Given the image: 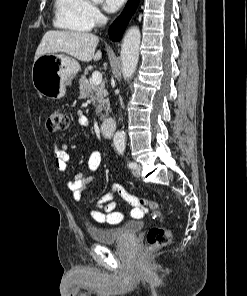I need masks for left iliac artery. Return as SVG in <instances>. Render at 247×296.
I'll use <instances>...</instances> for the list:
<instances>
[{
  "label": "left iliac artery",
  "instance_id": "obj_1",
  "mask_svg": "<svg viewBox=\"0 0 247 296\" xmlns=\"http://www.w3.org/2000/svg\"><path fill=\"white\" fill-rule=\"evenodd\" d=\"M127 165L130 169H135L137 167V164L134 162H128Z\"/></svg>",
  "mask_w": 247,
  "mask_h": 296
}]
</instances>
